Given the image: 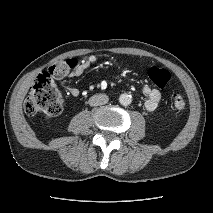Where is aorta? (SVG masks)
I'll use <instances>...</instances> for the list:
<instances>
[{"label": "aorta", "mask_w": 213, "mask_h": 213, "mask_svg": "<svg viewBox=\"0 0 213 213\" xmlns=\"http://www.w3.org/2000/svg\"><path fill=\"white\" fill-rule=\"evenodd\" d=\"M119 102L121 105L127 106L132 102V97L129 94L123 93L119 97Z\"/></svg>", "instance_id": "aorta-1"}]
</instances>
